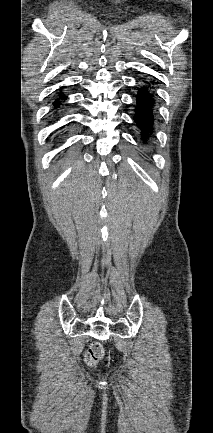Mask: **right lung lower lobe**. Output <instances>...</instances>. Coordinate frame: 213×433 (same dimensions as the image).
Instances as JSON below:
<instances>
[{
	"mask_svg": "<svg viewBox=\"0 0 213 433\" xmlns=\"http://www.w3.org/2000/svg\"><path fill=\"white\" fill-rule=\"evenodd\" d=\"M66 96H61L60 95V99H62V100H66ZM53 104H54V106H55V108L57 109V108H59V106H60V101H59V99H56L54 102H53Z\"/></svg>",
	"mask_w": 213,
	"mask_h": 433,
	"instance_id": "98d812e1",
	"label": "right lung lower lobe"
}]
</instances>
